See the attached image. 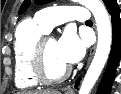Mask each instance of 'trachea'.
<instances>
[{"instance_id":"trachea-1","label":"trachea","mask_w":121,"mask_h":94,"mask_svg":"<svg viewBox=\"0 0 121 94\" xmlns=\"http://www.w3.org/2000/svg\"><path fill=\"white\" fill-rule=\"evenodd\" d=\"M86 22H91V20H87Z\"/></svg>"}]
</instances>
